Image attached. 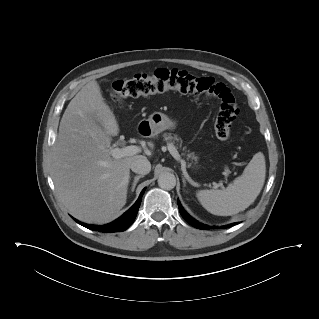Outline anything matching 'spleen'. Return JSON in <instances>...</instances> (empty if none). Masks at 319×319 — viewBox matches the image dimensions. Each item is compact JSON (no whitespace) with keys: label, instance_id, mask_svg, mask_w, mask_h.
<instances>
[{"label":"spleen","instance_id":"obj_1","mask_svg":"<svg viewBox=\"0 0 319 319\" xmlns=\"http://www.w3.org/2000/svg\"><path fill=\"white\" fill-rule=\"evenodd\" d=\"M266 165L263 153H256L243 174L223 190H200L196 196L210 213L231 216L248 208L257 198L265 182Z\"/></svg>","mask_w":319,"mask_h":319}]
</instances>
